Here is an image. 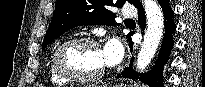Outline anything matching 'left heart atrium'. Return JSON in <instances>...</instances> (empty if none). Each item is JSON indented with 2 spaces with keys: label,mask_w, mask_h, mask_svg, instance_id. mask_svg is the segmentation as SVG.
Returning a JSON list of instances; mask_svg holds the SVG:
<instances>
[{
  "label": "left heart atrium",
  "mask_w": 205,
  "mask_h": 87,
  "mask_svg": "<svg viewBox=\"0 0 205 87\" xmlns=\"http://www.w3.org/2000/svg\"><path fill=\"white\" fill-rule=\"evenodd\" d=\"M103 54L105 62L115 64L121 59L123 55V49L120 43L117 40L113 39L106 44Z\"/></svg>",
  "instance_id": "left-heart-atrium-1"
}]
</instances>
